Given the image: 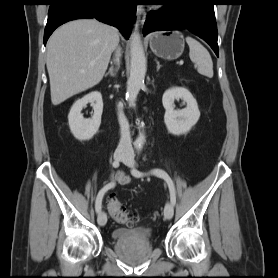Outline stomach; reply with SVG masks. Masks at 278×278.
Segmentation results:
<instances>
[{
	"label": "stomach",
	"instance_id": "1",
	"mask_svg": "<svg viewBox=\"0 0 278 278\" xmlns=\"http://www.w3.org/2000/svg\"><path fill=\"white\" fill-rule=\"evenodd\" d=\"M152 52L163 59L174 60L184 51V38L179 31L156 33L150 38Z\"/></svg>",
	"mask_w": 278,
	"mask_h": 278
}]
</instances>
